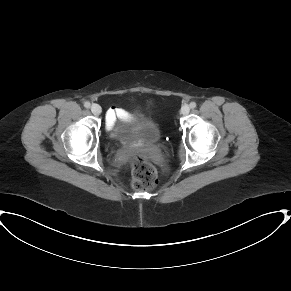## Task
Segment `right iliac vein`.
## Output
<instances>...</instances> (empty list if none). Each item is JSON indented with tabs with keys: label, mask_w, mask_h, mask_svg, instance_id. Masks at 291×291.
Instances as JSON below:
<instances>
[{
	"label": "right iliac vein",
	"mask_w": 291,
	"mask_h": 291,
	"mask_svg": "<svg viewBox=\"0 0 291 291\" xmlns=\"http://www.w3.org/2000/svg\"><path fill=\"white\" fill-rule=\"evenodd\" d=\"M91 112L94 115H100L102 112V108L98 104H92L91 106Z\"/></svg>",
	"instance_id": "obj_1"
}]
</instances>
